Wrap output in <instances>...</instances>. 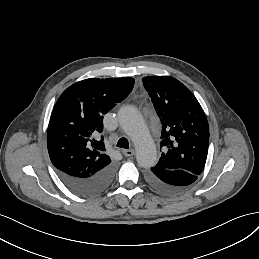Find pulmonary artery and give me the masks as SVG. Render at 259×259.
Returning a JSON list of instances; mask_svg holds the SVG:
<instances>
[{
  "label": "pulmonary artery",
  "mask_w": 259,
  "mask_h": 259,
  "mask_svg": "<svg viewBox=\"0 0 259 259\" xmlns=\"http://www.w3.org/2000/svg\"><path fill=\"white\" fill-rule=\"evenodd\" d=\"M122 130L132 138H137L144 129L143 122L134 116H126L120 119Z\"/></svg>",
  "instance_id": "obj_1"
}]
</instances>
